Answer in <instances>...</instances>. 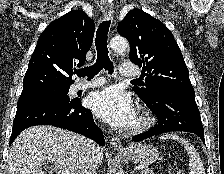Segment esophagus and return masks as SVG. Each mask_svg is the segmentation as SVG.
Listing matches in <instances>:
<instances>
[{
  "label": "esophagus",
  "instance_id": "1",
  "mask_svg": "<svg viewBox=\"0 0 224 174\" xmlns=\"http://www.w3.org/2000/svg\"><path fill=\"white\" fill-rule=\"evenodd\" d=\"M101 10L103 13L104 19L108 20L113 15V4L108 0H102L101 2ZM110 148L119 150L122 149V143L119 138L112 137L109 142Z\"/></svg>",
  "mask_w": 224,
  "mask_h": 174
}]
</instances>
